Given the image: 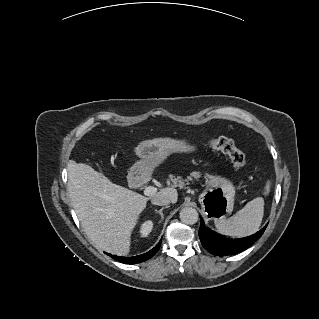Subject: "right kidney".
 Segmentation results:
<instances>
[{
	"label": "right kidney",
	"instance_id": "obj_1",
	"mask_svg": "<svg viewBox=\"0 0 319 319\" xmlns=\"http://www.w3.org/2000/svg\"><path fill=\"white\" fill-rule=\"evenodd\" d=\"M153 225H154V223L152 220L144 221L139 227V231H138L139 237L140 238L148 237V235L150 234V232L153 229Z\"/></svg>",
	"mask_w": 319,
	"mask_h": 319
}]
</instances>
